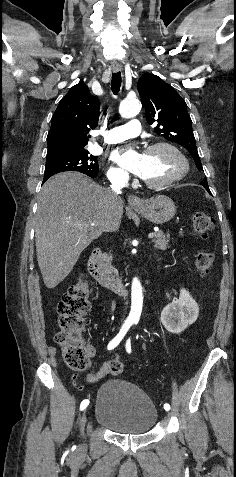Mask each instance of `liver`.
<instances>
[{"label":"liver","mask_w":236,"mask_h":477,"mask_svg":"<svg viewBox=\"0 0 236 477\" xmlns=\"http://www.w3.org/2000/svg\"><path fill=\"white\" fill-rule=\"evenodd\" d=\"M112 191L78 172L51 177L42 186L36 215L37 261L48 289L72 271L81 252L105 231ZM117 227L123 216L120 199L114 204Z\"/></svg>","instance_id":"obj_1"}]
</instances>
